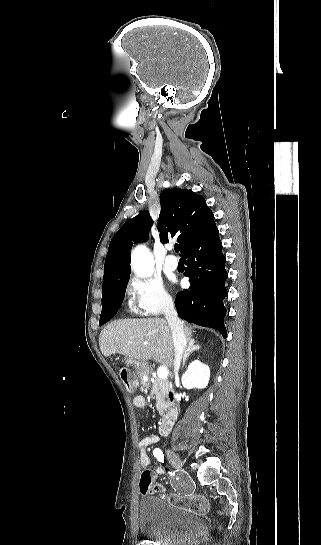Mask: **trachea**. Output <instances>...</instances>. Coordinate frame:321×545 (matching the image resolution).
<instances>
[{
  "label": "trachea",
  "instance_id": "1",
  "mask_svg": "<svg viewBox=\"0 0 321 545\" xmlns=\"http://www.w3.org/2000/svg\"><path fill=\"white\" fill-rule=\"evenodd\" d=\"M174 249L176 250V252H179L180 246H179V245H175V246H174Z\"/></svg>",
  "mask_w": 321,
  "mask_h": 545
}]
</instances>
